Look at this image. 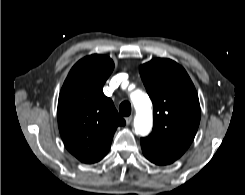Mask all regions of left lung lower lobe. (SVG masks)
I'll use <instances>...</instances> for the list:
<instances>
[{"label":"left lung lower lobe","mask_w":245,"mask_h":195,"mask_svg":"<svg viewBox=\"0 0 245 195\" xmlns=\"http://www.w3.org/2000/svg\"><path fill=\"white\" fill-rule=\"evenodd\" d=\"M140 142L144 156L157 165L171 164L186 151L178 147L163 145L150 137L141 138Z\"/></svg>","instance_id":"obj_1"}]
</instances>
